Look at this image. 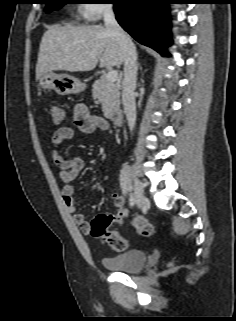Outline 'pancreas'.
<instances>
[{"instance_id": "1", "label": "pancreas", "mask_w": 236, "mask_h": 321, "mask_svg": "<svg viewBox=\"0 0 236 321\" xmlns=\"http://www.w3.org/2000/svg\"><path fill=\"white\" fill-rule=\"evenodd\" d=\"M120 85L109 82L106 76L95 81L92 94L102 104V111L106 118L112 116L120 109Z\"/></svg>"}]
</instances>
